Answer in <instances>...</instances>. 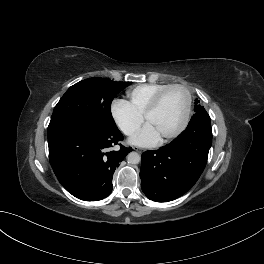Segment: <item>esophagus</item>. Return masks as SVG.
<instances>
[{"mask_svg": "<svg viewBox=\"0 0 264 264\" xmlns=\"http://www.w3.org/2000/svg\"><path fill=\"white\" fill-rule=\"evenodd\" d=\"M133 149H134L135 151L139 152V153H142V152H143L142 149H139V148H136V147H134Z\"/></svg>", "mask_w": 264, "mask_h": 264, "instance_id": "esophagus-1", "label": "esophagus"}]
</instances>
